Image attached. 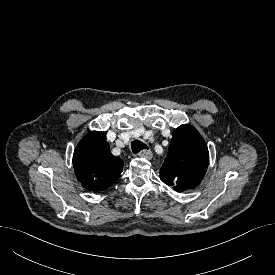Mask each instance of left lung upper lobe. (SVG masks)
<instances>
[{
	"mask_svg": "<svg viewBox=\"0 0 275 275\" xmlns=\"http://www.w3.org/2000/svg\"><path fill=\"white\" fill-rule=\"evenodd\" d=\"M209 162L207 145L190 125L179 126L172 135L160 179L177 192L195 188L202 181Z\"/></svg>",
	"mask_w": 275,
	"mask_h": 275,
	"instance_id": "1",
	"label": "left lung upper lobe"
}]
</instances>
